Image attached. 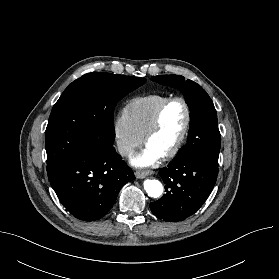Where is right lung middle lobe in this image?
I'll return each instance as SVG.
<instances>
[{
    "instance_id": "dd1d6c3e",
    "label": "right lung middle lobe",
    "mask_w": 279,
    "mask_h": 279,
    "mask_svg": "<svg viewBox=\"0 0 279 279\" xmlns=\"http://www.w3.org/2000/svg\"><path fill=\"white\" fill-rule=\"evenodd\" d=\"M145 82V78L103 72L72 82L53 106L46 128L48 178L78 151L113 145L116 103Z\"/></svg>"
}]
</instances>
